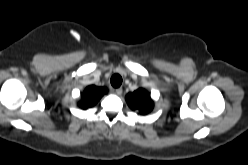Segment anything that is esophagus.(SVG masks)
<instances>
[{
    "instance_id": "1",
    "label": "esophagus",
    "mask_w": 248,
    "mask_h": 165,
    "mask_svg": "<svg viewBox=\"0 0 248 165\" xmlns=\"http://www.w3.org/2000/svg\"><path fill=\"white\" fill-rule=\"evenodd\" d=\"M122 88H117V89H115V94L117 95V96H120L121 94H122Z\"/></svg>"
}]
</instances>
